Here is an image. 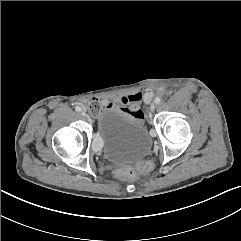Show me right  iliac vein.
Instances as JSON below:
<instances>
[{"label":"right iliac vein","mask_w":241,"mask_h":241,"mask_svg":"<svg viewBox=\"0 0 241 241\" xmlns=\"http://www.w3.org/2000/svg\"><path fill=\"white\" fill-rule=\"evenodd\" d=\"M82 115H83V116H87L86 112H84V111L82 112Z\"/></svg>","instance_id":"1"}]
</instances>
